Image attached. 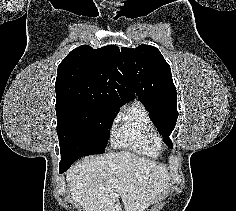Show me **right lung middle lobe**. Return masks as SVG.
<instances>
[{
	"label": "right lung middle lobe",
	"mask_w": 236,
	"mask_h": 211,
	"mask_svg": "<svg viewBox=\"0 0 236 211\" xmlns=\"http://www.w3.org/2000/svg\"><path fill=\"white\" fill-rule=\"evenodd\" d=\"M118 111L115 107L89 105L56 108L61 157L104 153Z\"/></svg>",
	"instance_id": "obj_1"
}]
</instances>
